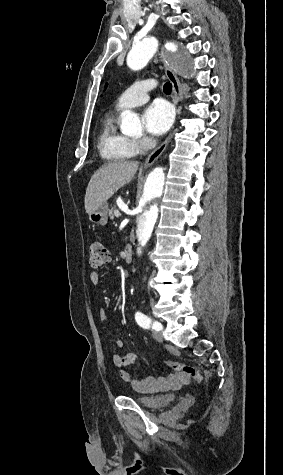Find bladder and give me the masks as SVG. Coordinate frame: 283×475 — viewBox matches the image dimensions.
Instances as JSON below:
<instances>
[{
    "label": "bladder",
    "mask_w": 283,
    "mask_h": 475,
    "mask_svg": "<svg viewBox=\"0 0 283 475\" xmlns=\"http://www.w3.org/2000/svg\"><path fill=\"white\" fill-rule=\"evenodd\" d=\"M131 398L134 402L139 404L141 407L148 410H154L157 408H164L168 404L173 403L176 398L172 394H162V395H153V396H142L138 394H132Z\"/></svg>",
    "instance_id": "obj_1"
}]
</instances>
